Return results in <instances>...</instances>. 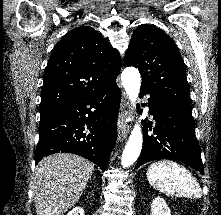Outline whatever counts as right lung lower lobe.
<instances>
[{"instance_id":"right-lung-lower-lobe-1","label":"right lung lower lobe","mask_w":221,"mask_h":215,"mask_svg":"<svg viewBox=\"0 0 221 215\" xmlns=\"http://www.w3.org/2000/svg\"><path fill=\"white\" fill-rule=\"evenodd\" d=\"M121 92L116 82L54 110L40 112L35 163L66 152L80 155L105 171L116 141Z\"/></svg>"}]
</instances>
